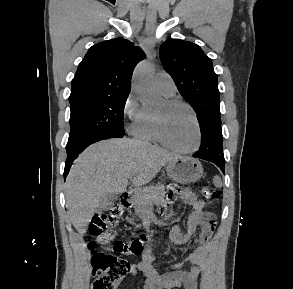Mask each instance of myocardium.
Here are the masks:
<instances>
[{
  "mask_svg": "<svg viewBox=\"0 0 293 289\" xmlns=\"http://www.w3.org/2000/svg\"><path fill=\"white\" fill-rule=\"evenodd\" d=\"M164 103L166 106L169 107H174V106H184L189 111L191 112L195 125H196V142L195 144L188 149H181L177 148L174 145H172L165 137L164 132H163V126H162V121L161 119L156 115L153 114V125H154V133L157 138V141L162 144L164 147L179 153V154H193L197 152L201 146L202 143V129H201V124L198 118V115L195 111V109L186 101L177 99V98H167L164 100Z\"/></svg>",
  "mask_w": 293,
  "mask_h": 289,
  "instance_id": "f54148a6",
  "label": "myocardium"
}]
</instances>
